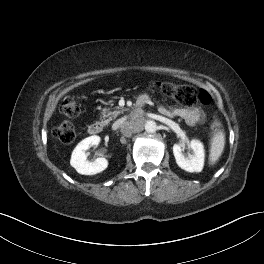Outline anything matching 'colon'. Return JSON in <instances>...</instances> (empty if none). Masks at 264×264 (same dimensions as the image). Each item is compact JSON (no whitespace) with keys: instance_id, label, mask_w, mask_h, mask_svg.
I'll return each mask as SVG.
<instances>
[{"instance_id":"obj_1","label":"colon","mask_w":264,"mask_h":264,"mask_svg":"<svg viewBox=\"0 0 264 264\" xmlns=\"http://www.w3.org/2000/svg\"><path fill=\"white\" fill-rule=\"evenodd\" d=\"M153 86L181 105L188 106L200 103L206 107L212 108L210 95L206 91H196L191 85L173 82H155ZM60 110L68 117H75L80 111L76 99L72 96H67L63 99ZM212 125L214 128L219 126V120L214 111L212 113ZM53 134L59 141L65 144L72 143L76 138L74 126L70 122H64L57 126Z\"/></svg>"}]
</instances>
